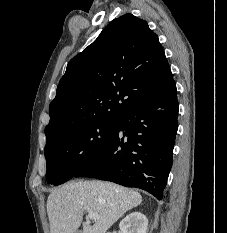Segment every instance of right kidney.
<instances>
[{
    "mask_svg": "<svg viewBox=\"0 0 227 233\" xmlns=\"http://www.w3.org/2000/svg\"><path fill=\"white\" fill-rule=\"evenodd\" d=\"M122 233H146L148 219L140 212L128 214L119 224Z\"/></svg>",
    "mask_w": 227,
    "mask_h": 233,
    "instance_id": "right-kidney-1",
    "label": "right kidney"
}]
</instances>
